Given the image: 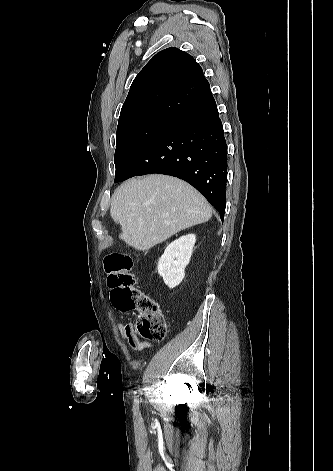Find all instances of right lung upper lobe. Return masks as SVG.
Wrapping results in <instances>:
<instances>
[{
  "mask_svg": "<svg viewBox=\"0 0 333 471\" xmlns=\"http://www.w3.org/2000/svg\"><path fill=\"white\" fill-rule=\"evenodd\" d=\"M209 91L210 85L194 58L170 47L157 53L138 73L119 119L144 113L176 117Z\"/></svg>",
  "mask_w": 333,
  "mask_h": 471,
  "instance_id": "right-lung-upper-lobe-1",
  "label": "right lung upper lobe"
}]
</instances>
